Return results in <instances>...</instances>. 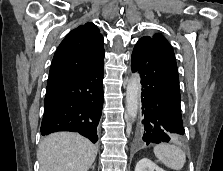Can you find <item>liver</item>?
<instances>
[{"label": "liver", "instance_id": "obj_1", "mask_svg": "<svg viewBox=\"0 0 223 171\" xmlns=\"http://www.w3.org/2000/svg\"><path fill=\"white\" fill-rule=\"evenodd\" d=\"M97 148L77 133L57 132L44 138L37 151L39 171H88Z\"/></svg>", "mask_w": 223, "mask_h": 171}]
</instances>
